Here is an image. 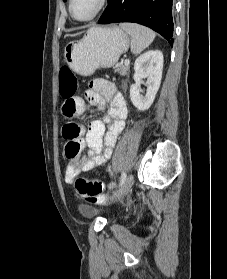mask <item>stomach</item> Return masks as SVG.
I'll return each instance as SVG.
<instances>
[{
    "label": "stomach",
    "instance_id": "stomach-1",
    "mask_svg": "<svg viewBox=\"0 0 227 279\" xmlns=\"http://www.w3.org/2000/svg\"><path fill=\"white\" fill-rule=\"evenodd\" d=\"M129 48V37L119 27H92L82 39L70 41L64 47V60L82 76L96 69L114 66Z\"/></svg>",
    "mask_w": 227,
    "mask_h": 279
}]
</instances>
